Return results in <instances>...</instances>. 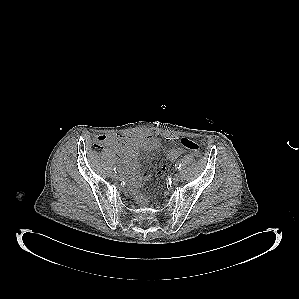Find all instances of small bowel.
I'll return each mask as SVG.
<instances>
[{
	"label": "small bowel",
	"instance_id": "obj_1",
	"mask_svg": "<svg viewBox=\"0 0 299 299\" xmlns=\"http://www.w3.org/2000/svg\"><path fill=\"white\" fill-rule=\"evenodd\" d=\"M104 136V135H100ZM159 141L152 137L127 136L118 134L115 136H108L105 146L111 147L115 150L117 157L123 164L124 177L135 187L142 184L143 181L150 177L148 172H140L137 156L140 150H153L158 148ZM183 154V149L180 147H172L166 154L169 161H175ZM165 166L162 165L159 173L165 171Z\"/></svg>",
	"mask_w": 299,
	"mask_h": 299
}]
</instances>
